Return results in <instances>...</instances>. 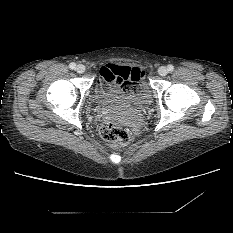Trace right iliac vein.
I'll use <instances>...</instances> for the list:
<instances>
[{"label": "right iliac vein", "instance_id": "1", "mask_svg": "<svg viewBox=\"0 0 233 233\" xmlns=\"http://www.w3.org/2000/svg\"><path fill=\"white\" fill-rule=\"evenodd\" d=\"M75 70H76L77 73H84L85 70H86V68H85L84 65L79 64V65L76 66V69H75Z\"/></svg>", "mask_w": 233, "mask_h": 233}]
</instances>
